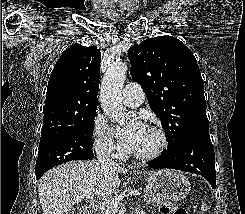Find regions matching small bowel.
<instances>
[{
    "label": "small bowel",
    "instance_id": "c3829d8e",
    "mask_svg": "<svg viewBox=\"0 0 245 214\" xmlns=\"http://www.w3.org/2000/svg\"><path fill=\"white\" fill-rule=\"evenodd\" d=\"M134 214H145V213L143 211H141V210H138Z\"/></svg>",
    "mask_w": 245,
    "mask_h": 214
}]
</instances>
